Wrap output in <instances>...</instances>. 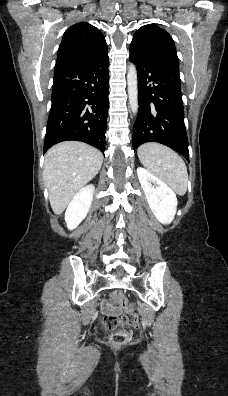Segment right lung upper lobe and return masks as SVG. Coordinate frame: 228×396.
Segmentation results:
<instances>
[{
  "label": "right lung upper lobe",
  "mask_w": 228,
  "mask_h": 396,
  "mask_svg": "<svg viewBox=\"0 0 228 396\" xmlns=\"http://www.w3.org/2000/svg\"><path fill=\"white\" fill-rule=\"evenodd\" d=\"M105 51H108V48L100 30L86 22L77 23L63 35L55 71L87 63Z\"/></svg>",
  "instance_id": "1"
}]
</instances>
